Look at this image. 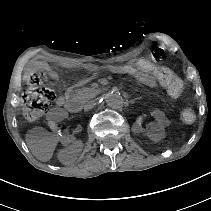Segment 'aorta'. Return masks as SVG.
<instances>
[{"instance_id": "1", "label": "aorta", "mask_w": 211, "mask_h": 211, "mask_svg": "<svg viewBox=\"0 0 211 211\" xmlns=\"http://www.w3.org/2000/svg\"><path fill=\"white\" fill-rule=\"evenodd\" d=\"M106 103L112 108H121L123 106V98L118 92H110L106 96Z\"/></svg>"}]
</instances>
